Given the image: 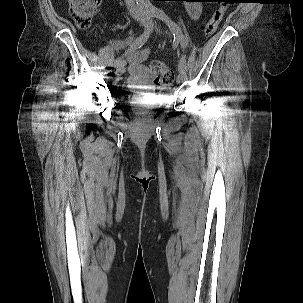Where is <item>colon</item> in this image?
Returning <instances> with one entry per match:
<instances>
[{
	"instance_id": "5ec220e1",
	"label": "colon",
	"mask_w": 303,
	"mask_h": 303,
	"mask_svg": "<svg viewBox=\"0 0 303 303\" xmlns=\"http://www.w3.org/2000/svg\"><path fill=\"white\" fill-rule=\"evenodd\" d=\"M219 6L215 9L205 25V34L212 35L218 28L226 9V0H219ZM70 12L74 16L80 28L90 26L93 17L98 12L100 0H68ZM151 70L155 83L160 87H167L174 81L172 70L160 61H153Z\"/></svg>"
}]
</instances>
